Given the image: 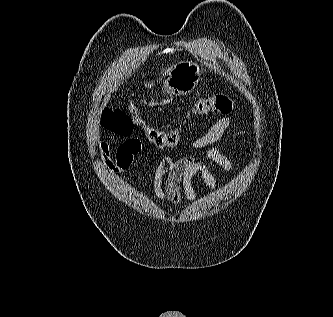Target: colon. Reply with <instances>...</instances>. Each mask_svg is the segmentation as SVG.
Instances as JSON below:
<instances>
[{"label":"colon","instance_id":"obj_1","mask_svg":"<svg viewBox=\"0 0 333 317\" xmlns=\"http://www.w3.org/2000/svg\"><path fill=\"white\" fill-rule=\"evenodd\" d=\"M234 101L226 93L199 98L191 109L193 116L227 115L233 109ZM101 123L110 132L128 137L133 133L134 126H140L147 139L159 149L171 150L180 143L181 135L178 129L163 131L149 125L139 114L136 106L130 104L128 111L105 108L102 112Z\"/></svg>","mask_w":333,"mask_h":317}]
</instances>
